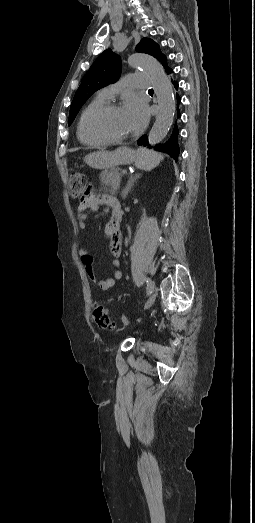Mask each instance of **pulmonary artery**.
I'll return each instance as SVG.
<instances>
[{
  "label": "pulmonary artery",
  "instance_id": "1",
  "mask_svg": "<svg viewBox=\"0 0 255 523\" xmlns=\"http://www.w3.org/2000/svg\"><path fill=\"white\" fill-rule=\"evenodd\" d=\"M150 81L151 76L149 74H145L142 71L131 72L128 78L122 83L119 92L123 96L129 95L131 88L134 91L145 92L151 88ZM117 92L118 89L116 86H108L100 90V93L107 98H112Z\"/></svg>",
  "mask_w": 255,
  "mask_h": 523
}]
</instances>
